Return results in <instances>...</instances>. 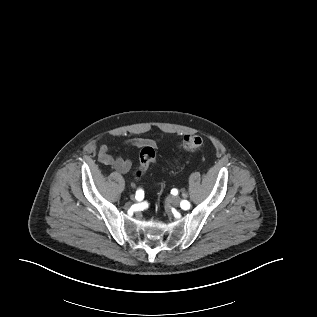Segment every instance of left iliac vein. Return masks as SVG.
<instances>
[{
	"label": "left iliac vein",
	"instance_id": "left-iliac-vein-1",
	"mask_svg": "<svg viewBox=\"0 0 317 317\" xmlns=\"http://www.w3.org/2000/svg\"><path fill=\"white\" fill-rule=\"evenodd\" d=\"M169 202H170L173 206L177 207V206L180 205L181 199H180V197H178V196H171V197L169 198Z\"/></svg>",
	"mask_w": 317,
	"mask_h": 317
}]
</instances>
